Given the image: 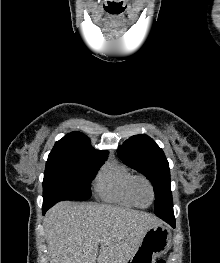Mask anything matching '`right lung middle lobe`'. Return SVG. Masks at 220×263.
<instances>
[{
	"label": "right lung middle lobe",
	"instance_id": "right-lung-middle-lobe-1",
	"mask_svg": "<svg viewBox=\"0 0 220 263\" xmlns=\"http://www.w3.org/2000/svg\"><path fill=\"white\" fill-rule=\"evenodd\" d=\"M108 156L84 152H51L43 180V204L87 200L90 185Z\"/></svg>",
	"mask_w": 220,
	"mask_h": 263
}]
</instances>
